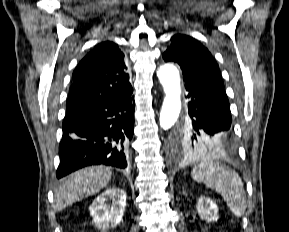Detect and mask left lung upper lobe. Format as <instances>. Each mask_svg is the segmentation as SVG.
Returning a JSON list of instances; mask_svg holds the SVG:
<instances>
[{
    "label": "left lung upper lobe",
    "mask_w": 289,
    "mask_h": 232,
    "mask_svg": "<svg viewBox=\"0 0 289 232\" xmlns=\"http://www.w3.org/2000/svg\"><path fill=\"white\" fill-rule=\"evenodd\" d=\"M171 40L170 47L163 54L165 61L178 63L184 76L203 79L223 88L219 67L207 48L194 38L183 34H176ZM174 143L185 150L198 152L211 147L200 140L190 126L177 130Z\"/></svg>",
    "instance_id": "1"
}]
</instances>
